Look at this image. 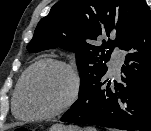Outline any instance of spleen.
<instances>
[{
    "label": "spleen",
    "instance_id": "spleen-1",
    "mask_svg": "<svg viewBox=\"0 0 151 131\" xmlns=\"http://www.w3.org/2000/svg\"><path fill=\"white\" fill-rule=\"evenodd\" d=\"M84 131H97L94 127H86Z\"/></svg>",
    "mask_w": 151,
    "mask_h": 131
}]
</instances>
